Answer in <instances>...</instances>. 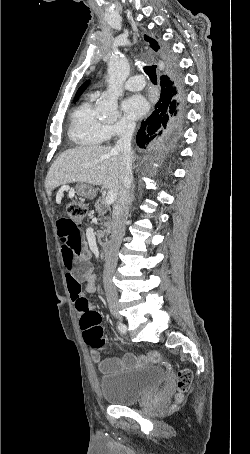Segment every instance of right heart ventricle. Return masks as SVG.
Returning <instances> with one entry per match:
<instances>
[{
    "instance_id": "obj_1",
    "label": "right heart ventricle",
    "mask_w": 250,
    "mask_h": 454,
    "mask_svg": "<svg viewBox=\"0 0 250 454\" xmlns=\"http://www.w3.org/2000/svg\"><path fill=\"white\" fill-rule=\"evenodd\" d=\"M94 101L95 97L90 96L72 114L68 136L76 146L96 147L110 138L107 124L96 114Z\"/></svg>"
}]
</instances>
